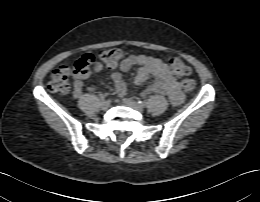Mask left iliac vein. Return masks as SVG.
I'll return each instance as SVG.
<instances>
[{
  "instance_id": "obj_1",
  "label": "left iliac vein",
  "mask_w": 260,
  "mask_h": 202,
  "mask_svg": "<svg viewBox=\"0 0 260 202\" xmlns=\"http://www.w3.org/2000/svg\"><path fill=\"white\" fill-rule=\"evenodd\" d=\"M123 103L127 106H130L134 109H136L137 111L139 112H142L143 111V107L140 106L136 101L132 100V99H129V98H125L123 99Z\"/></svg>"
}]
</instances>
